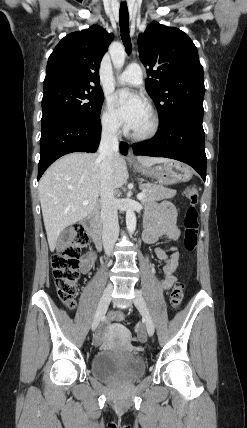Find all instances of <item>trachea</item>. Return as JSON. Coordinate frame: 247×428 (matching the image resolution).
<instances>
[{"label": "trachea", "mask_w": 247, "mask_h": 428, "mask_svg": "<svg viewBox=\"0 0 247 428\" xmlns=\"http://www.w3.org/2000/svg\"><path fill=\"white\" fill-rule=\"evenodd\" d=\"M119 21H120L121 38L126 48V53L130 54L132 51V44L129 37V13H128V7L126 3H121L120 5Z\"/></svg>", "instance_id": "3493384b"}]
</instances>
